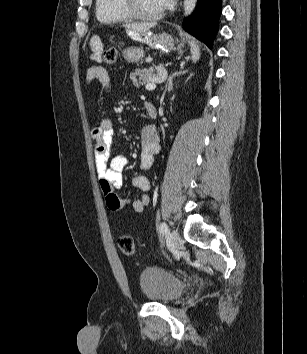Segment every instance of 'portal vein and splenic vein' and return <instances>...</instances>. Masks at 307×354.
<instances>
[{"label":"portal vein and splenic vein","mask_w":307,"mask_h":354,"mask_svg":"<svg viewBox=\"0 0 307 354\" xmlns=\"http://www.w3.org/2000/svg\"><path fill=\"white\" fill-rule=\"evenodd\" d=\"M164 78L165 77L160 76V77H156V78L152 79L151 82L146 84L145 88L147 90H154L156 88V83L163 81Z\"/></svg>","instance_id":"portal-vein-and-splenic-vein-1"}]
</instances>
